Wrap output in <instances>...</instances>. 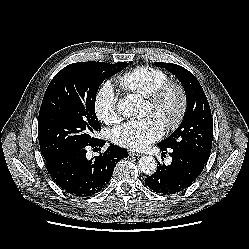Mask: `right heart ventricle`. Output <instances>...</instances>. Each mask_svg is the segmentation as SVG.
<instances>
[{
    "label": "right heart ventricle",
    "mask_w": 249,
    "mask_h": 249,
    "mask_svg": "<svg viewBox=\"0 0 249 249\" xmlns=\"http://www.w3.org/2000/svg\"><path fill=\"white\" fill-rule=\"evenodd\" d=\"M168 80V74L161 69L139 66L119 76L117 84L126 92L146 96Z\"/></svg>",
    "instance_id": "1"
}]
</instances>
